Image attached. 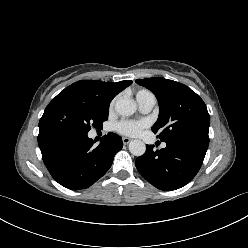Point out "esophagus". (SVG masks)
I'll list each match as a JSON object with an SVG mask.
<instances>
[{"instance_id":"34e87169","label":"esophagus","mask_w":248,"mask_h":248,"mask_svg":"<svg viewBox=\"0 0 248 248\" xmlns=\"http://www.w3.org/2000/svg\"><path fill=\"white\" fill-rule=\"evenodd\" d=\"M122 142H123V144L127 145V144H129L131 142V139L128 138V137H123Z\"/></svg>"}]
</instances>
